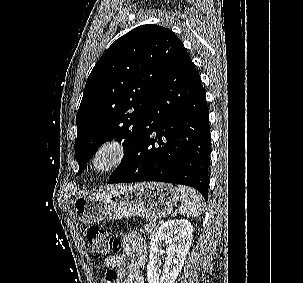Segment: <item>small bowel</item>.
Masks as SVG:
<instances>
[{"instance_id": "c3829d8e", "label": "small bowel", "mask_w": 303, "mask_h": 283, "mask_svg": "<svg viewBox=\"0 0 303 283\" xmlns=\"http://www.w3.org/2000/svg\"><path fill=\"white\" fill-rule=\"evenodd\" d=\"M147 259V245L138 232L127 234L122 241V253L104 259V264L112 268L103 283H144L140 274Z\"/></svg>"}]
</instances>
